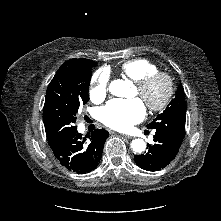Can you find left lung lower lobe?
Returning a JSON list of instances; mask_svg holds the SVG:
<instances>
[{
    "mask_svg": "<svg viewBox=\"0 0 221 221\" xmlns=\"http://www.w3.org/2000/svg\"><path fill=\"white\" fill-rule=\"evenodd\" d=\"M183 137L173 131L158 128L154 135V144L147 145L148 151L135 155L136 164L147 171H157L167 166L177 155Z\"/></svg>",
    "mask_w": 221,
    "mask_h": 221,
    "instance_id": "left-lung-lower-lobe-1",
    "label": "left lung lower lobe"
}]
</instances>
